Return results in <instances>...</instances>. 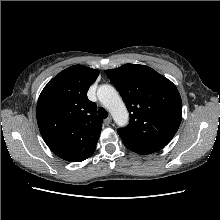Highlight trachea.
Segmentation results:
<instances>
[{"instance_id": "1", "label": "trachea", "mask_w": 220, "mask_h": 220, "mask_svg": "<svg viewBox=\"0 0 220 220\" xmlns=\"http://www.w3.org/2000/svg\"><path fill=\"white\" fill-rule=\"evenodd\" d=\"M98 115L102 118V119H106L108 117V112L103 108L100 107L98 109Z\"/></svg>"}]
</instances>
